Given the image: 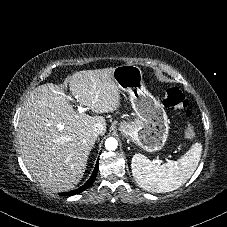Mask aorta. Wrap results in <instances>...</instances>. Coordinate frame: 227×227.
Here are the masks:
<instances>
[{"instance_id":"762f6f07","label":"aorta","mask_w":227,"mask_h":227,"mask_svg":"<svg viewBox=\"0 0 227 227\" xmlns=\"http://www.w3.org/2000/svg\"><path fill=\"white\" fill-rule=\"evenodd\" d=\"M118 146V142L114 137L107 138L105 141V147L107 150H115Z\"/></svg>"}]
</instances>
